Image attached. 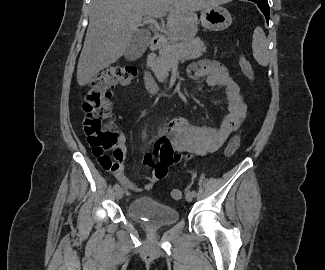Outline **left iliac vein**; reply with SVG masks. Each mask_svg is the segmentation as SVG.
Returning a JSON list of instances; mask_svg holds the SVG:
<instances>
[{
    "label": "left iliac vein",
    "instance_id": "4c4485c4",
    "mask_svg": "<svg viewBox=\"0 0 325 270\" xmlns=\"http://www.w3.org/2000/svg\"><path fill=\"white\" fill-rule=\"evenodd\" d=\"M193 194L191 191H187L186 194H185V198L188 202H191L193 200Z\"/></svg>",
    "mask_w": 325,
    "mask_h": 270
}]
</instances>
